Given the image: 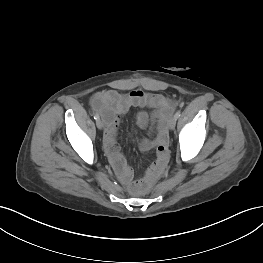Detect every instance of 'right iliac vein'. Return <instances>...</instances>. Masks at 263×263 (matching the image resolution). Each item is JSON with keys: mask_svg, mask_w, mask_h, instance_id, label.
Here are the masks:
<instances>
[{"mask_svg": "<svg viewBox=\"0 0 263 263\" xmlns=\"http://www.w3.org/2000/svg\"><path fill=\"white\" fill-rule=\"evenodd\" d=\"M96 125H97L98 129H100V130L103 129L104 125H103V122L100 119L96 121Z\"/></svg>", "mask_w": 263, "mask_h": 263, "instance_id": "right-iliac-vein-1", "label": "right iliac vein"}]
</instances>
